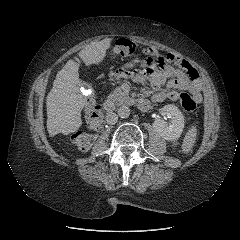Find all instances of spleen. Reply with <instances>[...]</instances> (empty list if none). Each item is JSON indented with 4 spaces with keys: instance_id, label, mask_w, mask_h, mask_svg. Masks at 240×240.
<instances>
[{
    "instance_id": "obj_1",
    "label": "spleen",
    "mask_w": 240,
    "mask_h": 240,
    "mask_svg": "<svg viewBox=\"0 0 240 240\" xmlns=\"http://www.w3.org/2000/svg\"><path fill=\"white\" fill-rule=\"evenodd\" d=\"M196 135H197L196 127L192 126L183 140L182 151L184 153H187L192 149L196 140Z\"/></svg>"
}]
</instances>
